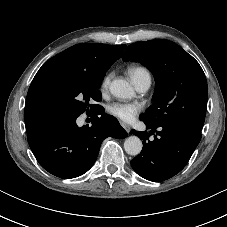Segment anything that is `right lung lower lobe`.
<instances>
[{"instance_id": "1", "label": "right lung lower lobe", "mask_w": 227, "mask_h": 227, "mask_svg": "<svg viewBox=\"0 0 227 227\" xmlns=\"http://www.w3.org/2000/svg\"><path fill=\"white\" fill-rule=\"evenodd\" d=\"M87 115L92 118L90 127L77 126L80 115L56 117L27 134L35 158L46 171L63 179L81 176L94 164L105 138L127 136L118 120L104 114L102 107Z\"/></svg>"}]
</instances>
